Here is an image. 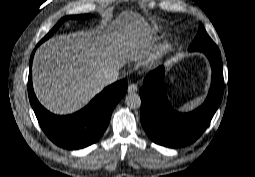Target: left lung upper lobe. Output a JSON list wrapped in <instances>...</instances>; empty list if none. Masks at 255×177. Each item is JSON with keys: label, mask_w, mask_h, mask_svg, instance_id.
I'll list each match as a JSON object with an SVG mask.
<instances>
[{"label": "left lung upper lobe", "mask_w": 255, "mask_h": 177, "mask_svg": "<svg viewBox=\"0 0 255 177\" xmlns=\"http://www.w3.org/2000/svg\"><path fill=\"white\" fill-rule=\"evenodd\" d=\"M218 49L215 43L208 36L202 24L199 25V30L196 38L189 47V51H207Z\"/></svg>", "instance_id": "5c2ea615"}]
</instances>
